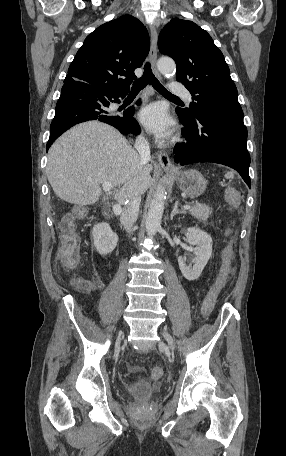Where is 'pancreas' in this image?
Returning <instances> with one entry per match:
<instances>
[{
  "label": "pancreas",
  "instance_id": "1",
  "mask_svg": "<svg viewBox=\"0 0 286 456\" xmlns=\"http://www.w3.org/2000/svg\"><path fill=\"white\" fill-rule=\"evenodd\" d=\"M188 211L193 217L197 218L199 221H206L212 213V208H210L208 205L196 204L190 207Z\"/></svg>",
  "mask_w": 286,
  "mask_h": 456
}]
</instances>
